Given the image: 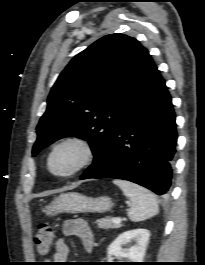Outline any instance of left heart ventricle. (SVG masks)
I'll use <instances>...</instances> for the list:
<instances>
[{
  "label": "left heart ventricle",
  "mask_w": 205,
  "mask_h": 265,
  "mask_svg": "<svg viewBox=\"0 0 205 265\" xmlns=\"http://www.w3.org/2000/svg\"><path fill=\"white\" fill-rule=\"evenodd\" d=\"M81 152L75 145H65L55 151L51 158V168L57 173L72 169L79 161Z\"/></svg>",
  "instance_id": "left-heart-ventricle-1"
}]
</instances>
